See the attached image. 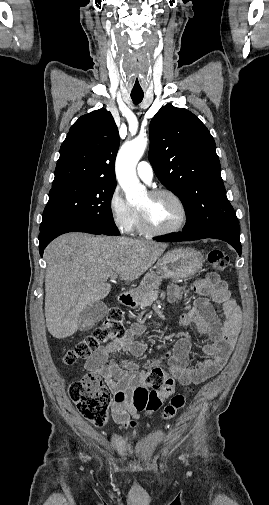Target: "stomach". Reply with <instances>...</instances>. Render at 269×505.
Masks as SVG:
<instances>
[{"instance_id":"1","label":"stomach","mask_w":269,"mask_h":505,"mask_svg":"<svg viewBox=\"0 0 269 505\" xmlns=\"http://www.w3.org/2000/svg\"><path fill=\"white\" fill-rule=\"evenodd\" d=\"M203 255L190 248L174 249L166 253L156 264V271L145 275L140 285V292H145L160 285L163 278L181 280L195 275L202 267Z\"/></svg>"}]
</instances>
